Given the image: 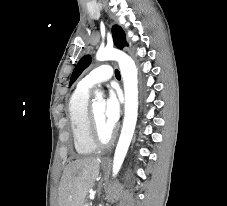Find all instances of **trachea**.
Instances as JSON below:
<instances>
[{"label":"trachea","mask_w":227,"mask_h":206,"mask_svg":"<svg viewBox=\"0 0 227 206\" xmlns=\"http://www.w3.org/2000/svg\"><path fill=\"white\" fill-rule=\"evenodd\" d=\"M115 76H116V78H118V79L120 78V72H119V70H116V71H115Z\"/></svg>","instance_id":"1"}]
</instances>
